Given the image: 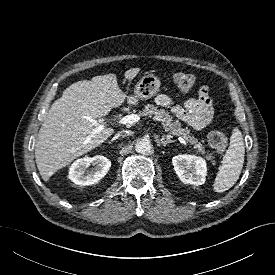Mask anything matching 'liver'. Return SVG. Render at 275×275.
<instances>
[{"instance_id":"liver-1","label":"liver","mask_w":275,"mask_h":275,"mask_svg":"<svg viewBox=\"0 0 275 275\" xmlns=\"http://www.w3.org/2000/svg\"><path fill=\"white\" fill-rule=\"evenodd\" d=\"M139 71L140 68H132L125 72L127 91ZM126 97L115 74L95 76L67 87L51 105L39 130L35 161L42 179L48 181L59 169L106 141L115 129L105 127L93 134L96 127L86 117L96 120L106 116Z\"/></svg>"}]
</instances>
